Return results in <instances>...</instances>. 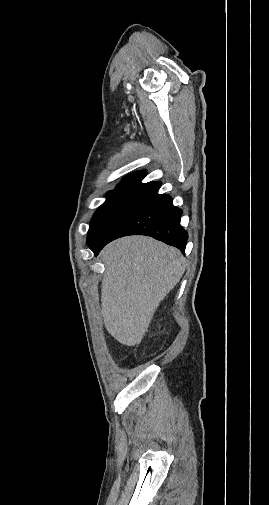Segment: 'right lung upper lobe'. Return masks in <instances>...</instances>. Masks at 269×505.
Listing matches in <instances>:
<instances>
[{
    "instance_id": "1",
    "label": "right lung upper lobe",
    "mask_w": 269,
    "mask_h": 505,
    "mask_svg": "<svg viewBox=\"0 0 269 505\" xmlns=\"http://www.w3.org/2000/svg\"><path fill=\"white\" fill-rule=\"evenodd\" d=\"M145 171H139L128 175L121 183L118 184L117 188L134 189L140 191L149 183H141V180L145 177Z\"/></svg>"
}]
</instances>
